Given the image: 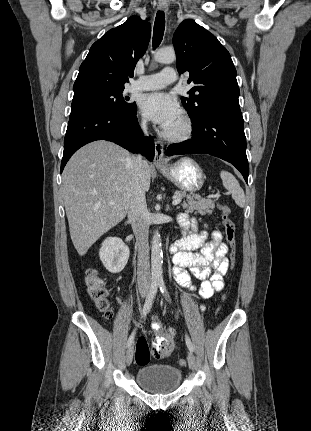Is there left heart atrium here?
<instances>
[{
	"label": "left heart atrium",
	"instance_id": "left-heart-atrium-1",
	"mask_svg": "<svg viewBox=\"0 0 311 431\" xmlns=\"http://www.w3.org/2000/svg\"><path fill=\"white\" fill-rule=\"evenodd\" d=\"M141 109L164 132L172 127L181 116L178 101L171 95L163 92L146 95L142 100Z\"/></svg>",
	"mask_w": 311,
	"mask_h": 431
}]
</instances>
